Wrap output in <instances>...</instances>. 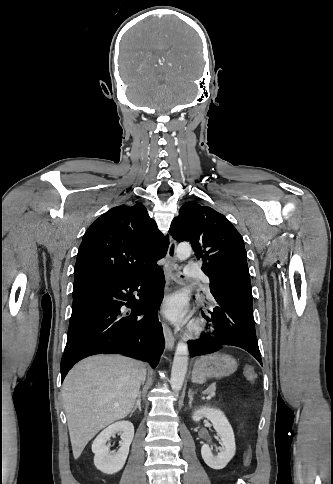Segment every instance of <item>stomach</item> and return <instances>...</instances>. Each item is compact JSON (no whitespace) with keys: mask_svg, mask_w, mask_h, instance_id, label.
Segmentation results:
<instances>
[{"mask_svg":"<svg viewBox=\"0 0 333 484\" xmlns=\"http://www.w3.org/2000/svg\"><path fill=\"white\" fill-rule=\"evenodd\" d=\"M236 360L225 353H213L195 359L191 380L203 384L211 378H221L234 373L237 369Z\"/></svg>","mask_w":333,"mask_h":484,"instance_id":"stomach-1","label":"stomach"}]
</instances>
